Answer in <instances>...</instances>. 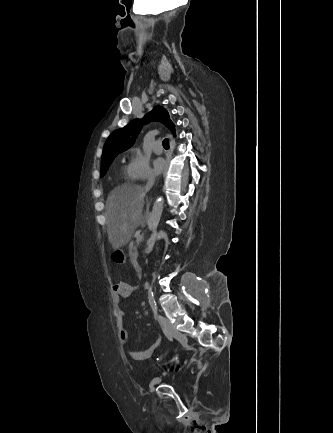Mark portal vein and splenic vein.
Returning <instances> with one entry per match:
<instances>
[{
  "label": "portal vein and splenic vein",
  "instance_id": "portal-vein-and-splenic-vein-1",
  "mask_svg": "<svg viewBox=\"0 0 333 433\" xmlns=\"http://www.w3.org/2000/svg\"><path fill=\"white\" fill-rule=\"evenodd\" d=\"M136 241H137V242L142 241V236H138L137 239H136Z\"/></svg>",
  "mask_w": 333,
  "mask_h": 433
}]
</instances>
